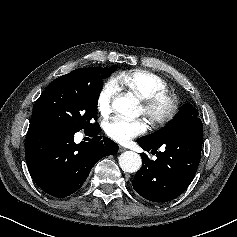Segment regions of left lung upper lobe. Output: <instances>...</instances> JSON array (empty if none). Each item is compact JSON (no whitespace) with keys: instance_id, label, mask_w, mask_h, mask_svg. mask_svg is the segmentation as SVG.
Segmentation results:
<instances>
[{"instance_id":"5c2ea615","label":"left lung upper lobe","mask_w":237,"mask_h":237,"mask_svg":"<svg viewBox=\"0 0 237 237\" xmlns=\"http://www.w3.org/2000/svg\"><path fill=\"white\" fill-rule=\"evenodd\" d=\"M198 111L191 104H184L178 114L165 127L150 135L141 137L147 142L159 143L169 139L197 119Z\"/></svg>"}]
</instances>
